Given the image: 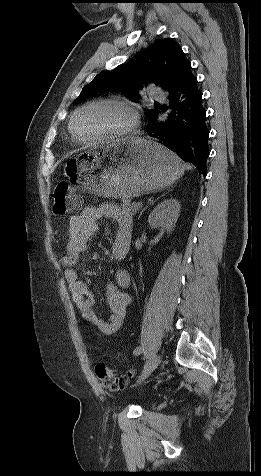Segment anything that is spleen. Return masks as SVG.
Masks as SVG:
<instances>
[{"instance_id":"spleen-1","label":"spleen","mask_w":261,"mask_h":476,"mask_svg":"<svg viewBox=\"0 0 261 476\" xmlns=\"http://www.w3.org/2000/svg\"><path fill=\"white\" fill-rule=\"evenodd\" d=\"M184 167H185L187 170H191V169H192V166L189 165V164H184Z\"/></svg>"}]
</instances>
